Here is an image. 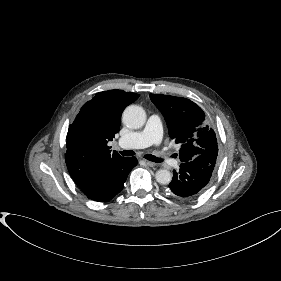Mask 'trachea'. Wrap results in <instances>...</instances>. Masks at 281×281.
Wrapping results in <instances>:
<instances>
[{
    "mask_svg": "<svg viewBox=\"0 0 281 281\" xmlns=\"http://www.w3.org/2000/svg\"><path fill=\"white\" fill-rule=\"evenodd\" d=\"M120 153H121L123 156H133V155H135V152L132 151V150H124V151H120ZM144 158H146V159L149 160V161L156 162V163L162 162V159H161V158H158V157L153 156V155H151V154H146V155H144Z\"/></svg>",
    "mask_w": 281,
    "mask_h": 281,
    "instance_id": "trachea-1",
    "label": "trachea"
}]
</instances>
